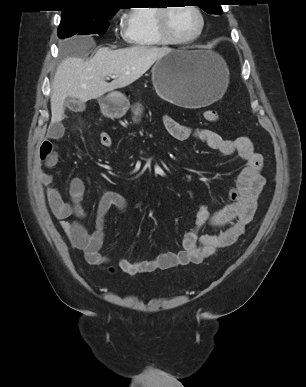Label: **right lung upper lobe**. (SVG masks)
Masks as SVG:
<instances>
[{
	"label": "right lung upper lobe",
	"mask_w": 306,
	"mask_h": 387,
	"mask_svg": "<svg viewBox=\"0 0 306 387\" xmlns=\"http://www.w3.org/2000/svg\"><path fill=\"white\" fill-rule=\"evenodd\" d=\"M66 7L62 14L68 13H97L106 10H118L117 0H66Z\"/></svg>",
	"instance_id": "1"
}]
</instances>
